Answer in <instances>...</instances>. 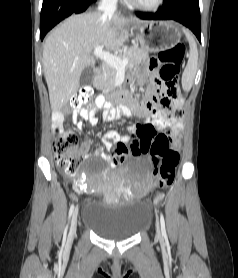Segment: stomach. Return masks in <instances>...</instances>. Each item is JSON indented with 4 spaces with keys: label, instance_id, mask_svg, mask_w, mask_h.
I'll return each mask as SVG.
<instances>
[{
    "label": "stomach",
    "instance_id": "0dacf381",
    "mask_svg": "<svg viewBox=\"0 0 238 278\" xmlns=\"http://www.w3.org/2000/svg\"><path fill=\"white\" fill-rule=\"evenodd\" d=\"M142 48L157 52L174 47L180 42L178 28L168 21H150L133 27Z\"/></svg>",
    "mask_w": 238,
    "mask_h": 278
}]
</instances>
